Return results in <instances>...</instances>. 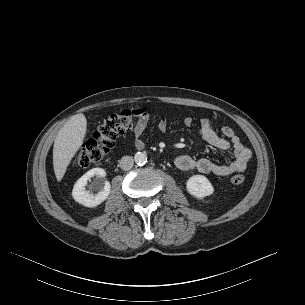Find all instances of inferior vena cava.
Returning <instances> with one entry per match:
<instances>
[{"label": "inferior vena cava", "mask_w": 305, "mask_h": 305, "mask_svg": "<svg viewBox=\"0 0 305 305\" xmlns=\"http://www.w3.org/2000/svg\"><path fill=\"white\" fill-rule=\"evenodd\" d=\"M119 163L122 170H130L133 167L134 160L131 156H124Z\"/></svg>", "instance_id": "obj_1"}]
</instances>
